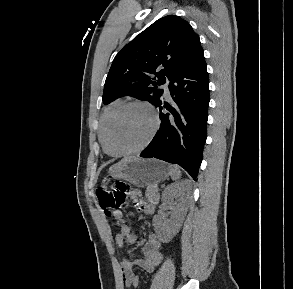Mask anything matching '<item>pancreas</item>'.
<instances>
[{"label": "pancreas", "instance_id": "1", "mask_svg": "<svg viewBox=\"0 0 293 289\" xmlns=\"http://www.w3.org/2000/svg\"><path fill=\"white\" fill-rule=\"evenodd\" d=\"M145 196L151 203H157L159 201V193L156 185H150L146 189Z\"/></svg>", "mask_w": 293, "mask_h": 289}]
</instances>
